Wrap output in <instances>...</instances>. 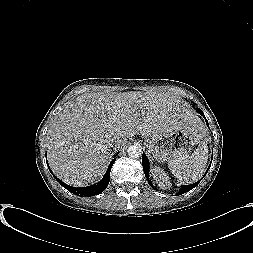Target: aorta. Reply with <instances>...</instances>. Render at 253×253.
Returning a JSON list of instances; mask_svg holds the SVG:
<instances>
[{"label": "aorta", "instance_id": "1", "mask_svg": "<svg viewBox=\"0 0 253 253\" xmlns=\"http://www.w3.org/2000/svg\"><path fill=\"white\" fill-rule=\"evenodd\" d=\"M127 154L131 158H138L142 155V148L139 144H134L128 147Z\"/></svg>", "mask_w": 253, "mask_h": 253}]
</instances>
